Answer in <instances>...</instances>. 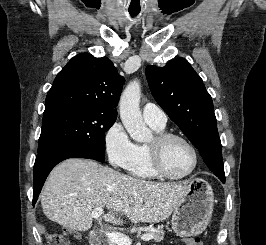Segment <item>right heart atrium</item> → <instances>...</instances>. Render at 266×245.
<instances>
[{"label":"right heart atrium","mask_w":266,"mask_h":245,"mask_svg":"<svg viewBox=\"0 0 266 245\" xmlns=\"http://www.w3.org/2000/svg\"><path fill=\"white\" fill-rule=\"evenodd\" d=\"M104 151L109 163L124 171H130L138 152V145L130 138L123 124L112 123L104 133Z\"/></svg>","instance_id":"right-heart-atrium-1"}]
</instances>
